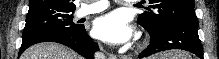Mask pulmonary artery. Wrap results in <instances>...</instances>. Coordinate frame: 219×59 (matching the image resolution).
Masks as SVG:
<instances>
[{
    "mask_svg": "<svg viewBox=\"0 0 219 59\" xmlns=\"http://www.w3.org/2000/svg\"><path fill=\"white\" fill-rule=\"evenodd\" d=\"M91 3L82 7L79 11L80 16H87L90 14L98 13L105 10L108 7L107 1L88 2Z\"/></svg>",
    "mask_w": 219,
    "mask_h": 59,
    "instance_id": "obj_1",
    "label": "pulmonary artery"
}]
</instances>
